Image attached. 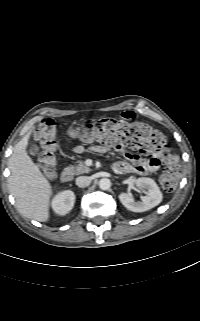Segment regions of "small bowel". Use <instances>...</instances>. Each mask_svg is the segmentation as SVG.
Listing matches in <instances>:
<instances>
[{
    "label": "small bowel",
    "mask_w": 200,
    "mask_h": 321,
    "mask_svg": "<svg viewBox=\"0 0 200 321\" xmlns=\"http://www.w3.org/2000/svg\"><path fill=\"white\" fill-rule=\"evenodd\" d=\"M125 117H133L132 112H126L124 114ZM105 149L114 150L117 154L121 153V150L118 146L112 144H105ZM82 147H78L77 151H82ZM123 152V151H122ZM126 157L129 159V162L119 161L112 165V169L116 172H124V173H135L138 175H148L152 174L159 168L161 155L159 153H153L152 156L148 158H142L138 155H131L129 153H125Z\"/></svg>",
    "instance_id": "c3829d8e"
}]
</instances>
